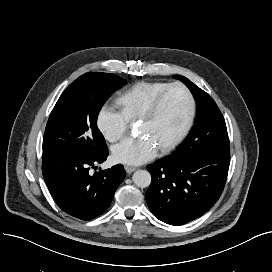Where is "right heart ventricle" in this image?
I'll use <instances>...</instances> for the list:
<instances>
[{"label": "right heart ventricle", "instance_id": "right-heart-ventricle-1", "mask_svg": "<svg viewBox=\"0 0 272 272\" xmlns=\"http://www.w3.org/2000/svg\"><path fill=\"white\" fill-rule=\"evenodd\" d=\"M169 83L160 81H140L122 91L116 102L129 121L140 118L152 99Z\"/></svg>", "mask_w": 272, "mask_h": 272}]
</instances>
